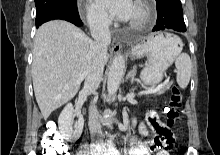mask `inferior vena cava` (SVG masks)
Wrapping results in <instances>:
<instances>
[{
	"label": "inferior vena cava",
	"mask_w": 220,
	"mask_h": 155,
	"mask_svg": "<svg viewBox=\"0 0 220 155\" xmlns=\"http://www.w3.org/2000/svg\"><path fill=\"white\" fill-rule=\"evenodd\" d=\"M90 31L94 42L90 45L85 70L83 92L91 94L99 87L104 66L106 64L107 47L111 42L109 22L101 13H93L88 18ZM97 109L93 105L89 109V129L92 135L101 133V125L97 120Z\"/></svg>",
	"instance_id": "inferior-vena-cava-1"
}]
</instances>
